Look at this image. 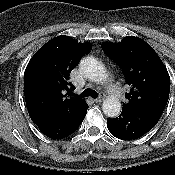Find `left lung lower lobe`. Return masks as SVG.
<instances>
[{"mask_svg": "<svg viewBox=\"0 0 175 175\" xmlns=\"http://www.w3.org/2000/svg\"><path fill=\"white\" fill-rule=\"evenodd\" d=\"M163 110L164 108L160 107L122 110L118 117L107 119V127L110 133L119 139H137L156 125Z\"/></svg>", "mask_w": 175, "mask_h": 175, "instance_id": "obj_1", "label": "left lung lower lobe"}]
</instances>
